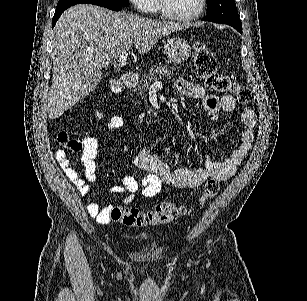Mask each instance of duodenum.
Here are the masks:
<instances>
[{"label": "duodenum", "instance_id": "1", "mask_svg": "<svg viewBox=\"0 0 307 301\" xmlns=\"http://www.w3.org/2000/svg\"><path fill=\"white\" fill-rule=\"evenodd\" d=\"M123 82L127 87H132L136 83V78L134 75L127 73L123 76Z\"/></svg>", "mask_w": 307, "mask_h": 301}]
</instances>
